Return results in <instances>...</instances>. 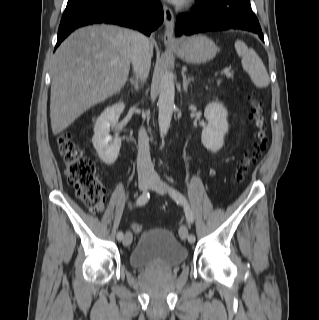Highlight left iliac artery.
Returning a JSON list of instances; mask_svg holds the SVG:
<instances>
[{
	"instance_id": "1",
	"label": "left iliac artery",
	"mask_w": 319,
	"mask_h": 320,
	"mask_svg": "<svg viewBox=\"0 0 319 320\" xmlns=\"http://www.w3.org/2000/svg\"><path fill=\"white\" fill-rule=\"evenodd\" d=\"M170 195L172 196L173 199H175L177 202L183 204L184 206V210H185V215H186V219L189 223H193V220H194V216H193V213H192V210L186 200V198L181 194L179 193L178 191L172 189L170 190ZM195 236L193 234H190L188 236V241L190 243H194L195 242Z\"/></svg>"
}]
</instances>
